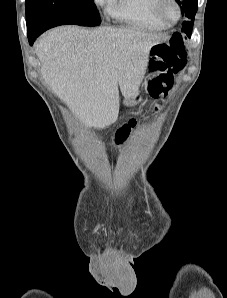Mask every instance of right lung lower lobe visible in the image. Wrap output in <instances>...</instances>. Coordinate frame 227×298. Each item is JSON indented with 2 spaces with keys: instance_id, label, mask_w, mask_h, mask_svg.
Masks as SVG:
<instances>
[{
  "instance_id": "right-lung-lower-lobe-1",
  "label": "right lung lower lobe",
  "mask_w": 227,
  "mask_h": 298,
  "mask_svg": "<svg viewBox=\"0 0 227 298\" xmlns=\"http://www.w3.org/2000/svg\"><path fill=\"white\" fill-rule=\"evenodd\" d=\"M43 33L42 31H37V32H33L28 35V40H29V44L32 45L34 40L41 34Z\"/></svg>"
}]
</instances>
